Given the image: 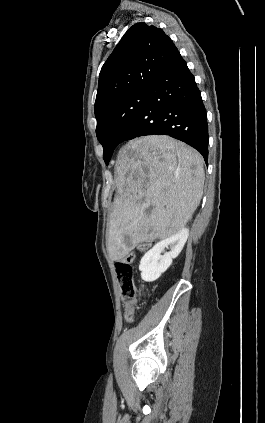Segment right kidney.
Instances as JSON below:
<instances>
[{
    "instance_id": "right-kidney-1",
    "label": "right kidney",
    "mask_w": 265,
    "mask_h": 423,
    "mask_svg": "<svg viewBox=\"0 0 265 423\" xmlns=\"http://www.w3.org/2000/svg\"><path fill=\"white\" fill-rule=\"evenodd\" d=\"M189 230L183 228L176 234L158 242L152 249H150L141 259L139 270L141 271V278L146 282H153L157 280L162 273H164L172 264V260L176 258L182 251L187 238ZM170 246V251L164 253V249Z\"/></svg>"
}]
</instances>
